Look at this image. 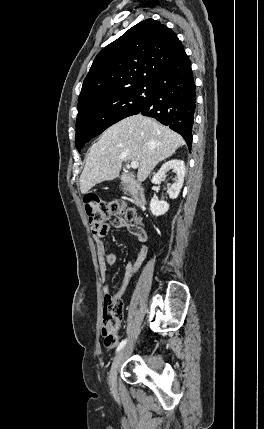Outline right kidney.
<instances>
[{"label":"right kidney","mask_w":264,"mask_h":429,"mask_svg":"<svg viewBox=\"0 0 264 429\" xmlns=\"http://www.w3.org/2000/svg\"><path fill=\"white\" fill-rule=\"evenodd\" d=\"M173 170L176 173L174 183L168 190V195L171 199H176L183 186L185 177V164L182 160L173 159L162 165L160 170L153 176L152 183L159 184L166 177V173ZM169 209V204L165 201H159L152 198L150 201V210L154 216L164 215Z\"/></svg>","instance_id":"obj_1"}]
</instances>
